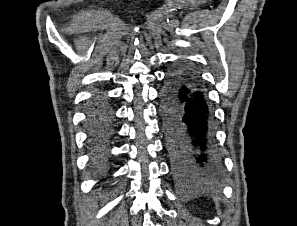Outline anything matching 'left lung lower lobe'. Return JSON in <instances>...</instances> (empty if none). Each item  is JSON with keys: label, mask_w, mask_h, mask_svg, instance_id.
<instances>
[{"label": "left lung lower lobe", "mask_w": 297, "mask_h": 226, "mask_svg": "<svg viewBox=\"0 0 297 226\" xmlns=\"http://www.w3.org/2000/svg\"><path fill=\"white\" fill-rule=\"evenodd\" d=\"M161 116L176 179L191 186L216 182L219 158L213 147L210 110L200 86L180 67L168 74Z\"/></svg>", "instance_id": "1"}]
</instances>
